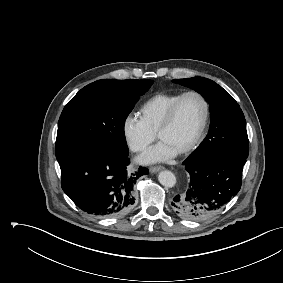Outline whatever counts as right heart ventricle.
Returning a JSON list of instances; mask_svg holds the SVG:
<instances>
[{
	"mask_svg": "<svg viewBox=\"0 0 283 283\" xmlns=\"http://www.w3.org/2000/svg\"><path fill=\"white\" fill-rule=\"evenodd\" d=\"M182 92H161L150 97L140 108L141 119L153 133H157L165 116Z\"/></svg>",
	"mask_w": 283,
	"mask_h": 283,
	"instance_id": "1",
	"label": "right heart ventricle"
}]
</instances>
